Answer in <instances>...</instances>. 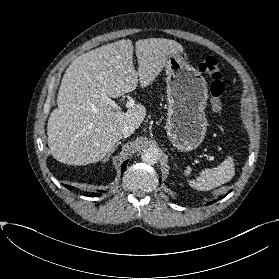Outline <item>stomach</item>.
<instances>
[{"label": "stomach", "mask_w": 279, "mask_h": 279, "mask_svg": "<svg viewBox=\"0 0 279 279\" xmlns=\"http://www.w3.org/2000/svg\"><path fill=\"white\" fill-rule=\"evenodd\" d=\"M165 68L167 136L178 150L191 151L203 142L207 132V82L180 54L168 56Z\"/></svg>", "instance_id": "stomach-1"}]
</instances>
